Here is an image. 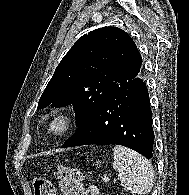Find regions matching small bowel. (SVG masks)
<instances>
[{
	"mask_svg": "<svg viewBox=\"0 0 189 195\" xmlns=\"http://www.w3.org/2000/svg\"><path fill=\"white\" fill-rule=\"evenodd\" d=\"M85 195H99L98 188L95 186H89L85 190Z\"/></svg>",
	"mask_w": 189,
	"mask_h": 195,
	"instance_id": "small-bowel-1",
	"label": "small bowel"
}]
</instances>
